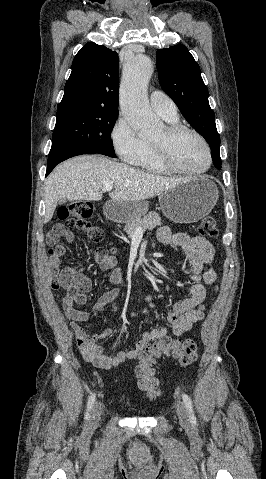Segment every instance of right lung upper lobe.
<instances>
[{
    "label": "right lung upper lobe",
    "instance_id": "1",
    "mask_svg": "<svg viewBox=\"0 0 266 479\" xmlns=\"http://www.w3.org/2000/svg\"><path fill=\"white\" fill-rule=\"evenodd\" d=\"M118 54L89 42L77 53L57 114L118 112Z\"/></svg>",
    "mask_w": 266,
    "mask_h": 479
}]
</instances>
